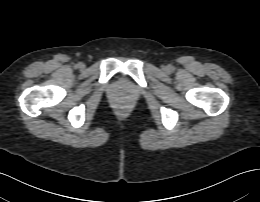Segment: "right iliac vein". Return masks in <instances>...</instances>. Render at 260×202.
<instances>
[{"instance_id":"right-iliac-vein-1","label":"right iliac vein","mask_w":260,"mask_h":202,"mask_svg":"<svg viewBox=\"0 0 260 202\" xmlns=\"http://www.w3.org/2000/svg\"><path fill=\"white\" fill-rule=\"evenodd\" d=\"M79 65H80L81 67L83 66V64H82V63H80Z\"/></svg>"}]
</instances>
